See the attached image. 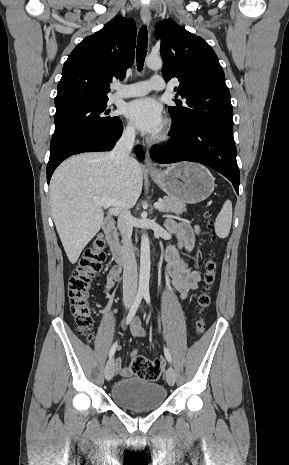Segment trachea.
Returning <instances> with one entry per match:
<instances>
[{"instance_id":"trachea-1","label":"trachea","mask_w":289,"mask_h":465,"mask_svg":"<svg viewBox=\"0 0 289 465\" xmlns=\"http://www.w3.org/2000/svg\"><path fill=\"white\" fill-rule=\"evenodd\" d=\"M148 45V33L146 26H143L138 33L136 60L138 70L141 71L144 65Z\"/></svg>"}]
</instances>
